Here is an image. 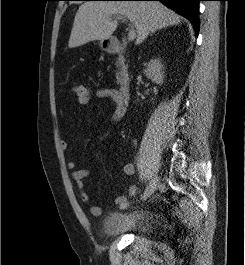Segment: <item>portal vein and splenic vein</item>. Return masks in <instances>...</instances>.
<instances>
[{
  "label": "portal vein and splenic vein",
  "instance_id": "1",
  "mask_svg": "<svg viewBox=\"0 0 245 265\" xmlns=\"http://www.w3.org/2000/svg\"><path fill=\"white\" fill-rule=\"evenodd\" d=\"M122 19V18H120ZM125 21V19H124ZM136 38V32L132 25L129 24L128 41H133Z\"/></svg>",
  "mask_w": 245,
  "mask_h": 265
}]
</instances>
